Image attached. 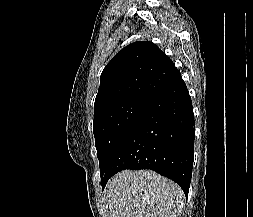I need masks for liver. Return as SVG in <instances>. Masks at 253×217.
<instances>
[{
	"instance_id": "obj_1",
	"label": "liver",
	"mask_w": 253,
	"mask_h": 217,
	"mask_svg": "<svg viewBox=\"0 0 253 217\" xmlns=\"http://www.w3.org/2000/svg\"><path fill=\"white\" fill-rule=\"evenodd\" d=\"M107 217H179L185 196L173 181L150 170H125L107 184Z\"/></svg>"
}]
</instances>
